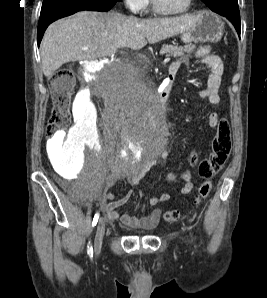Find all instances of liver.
<instances>
[{"label":"liver","instance_id":"obj_1","mask_svg":"<svg viewBox=\"0 0 267 298\" xmlns=\"http://www.w3.org/2000/svg\"><path fill=\"white\" fill-rule=\"evenodd\" d=\"M198 15L137 19L120 13L80 11L52 23L41 43V63L50 77L63 64L112 56L120 48L141 49L193 29Z\"/></svg>","mask_w":267,"mask_h":298}]
</instances>
